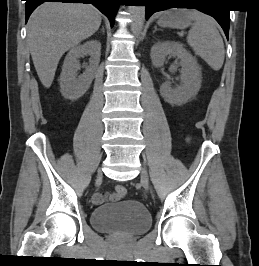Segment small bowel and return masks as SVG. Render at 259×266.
Masks as SVG:
<instances>
[{
  "label": "small bowel",
  "instance_id": "small-bowel-1",
  "mask_svg": "<svg viewBox=\"0 0 259 266\" xmlns=\"http://www.w3.org/2000/svg\"><path fill=\"white\" fill-rule=\"evenodd\" d=\"M119 197L115 193H97L93 196L95 204H102L105 201H116Z\"/></svg>",
  "mask_w": 259,
  "mask_h": 266
}]
</instances>
